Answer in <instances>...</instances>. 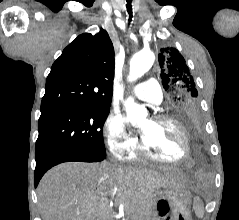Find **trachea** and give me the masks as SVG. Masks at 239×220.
Returning <instances> with one entry per match:
<instances>
[{
	"instance_id": "trachea-1",
	"label": "trachea",
	"mask_w": 239,
	"mask_h": 220,
	"mask_svg": "<svg viewBox=\"0 0 239 220\" xmlns=\"http://www.w3.org/2000/svg\"><path fill=\"white\" fill-rule=\"evenodd\" d=\"M127 1V5H126V7H127V11H128V13H129V21H131V18H132V5H131V2H132V0H126Z\"/></svg>"
}]
</instances>
